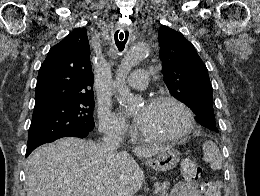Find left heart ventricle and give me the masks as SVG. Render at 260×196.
Returning a JSON list of instances; mask_svg holds the SVG:
<instances>
[{"label":"left heart ventricle","mask_w":260,"mask_h":196,"mask_svg":"<svg viewBox=\"0 0 260 196\" xmlns=\"http://www.w3.org/2000/svg\"><path fill=\"white\" fill-rule=\"evenodd\" d=\"M139 115H143L141 130L151 134L176 133L182 130L187 123L186 113L171 103L142 106L137 110V116Z\"/></svg>","instance_id":"b2bd125f"}]
</instances>
